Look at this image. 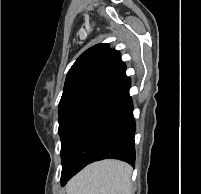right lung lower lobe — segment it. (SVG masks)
Wrapping results in <instances>:
<instances>
[{"label": "right lung lower lobe", "mask_w": 201, "mask_h": 194, "mask_svg": "<svg viewBox=\"0 0 201 194\" xmlns=\"http://www.w3.org/2000/svg\"><path fill=\"white\" fill-rule=\"evenodd\" d=\"M130 78L92 99L74 117L62 138L61 184L87 164L106 158L135 163Z\"/></svg>", "instance_id": "1"}]
</instances>
